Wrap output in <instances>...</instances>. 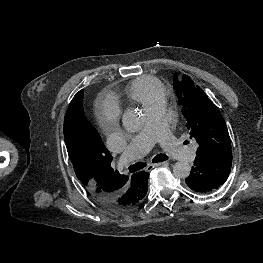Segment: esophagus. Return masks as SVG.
<instances>
[{
    "mask_svg": "<svg viewBox=\"0 0 263 263\" xmlns=\"http://www.w3.org/2000/svg\"><path fill=\"white\" fill-rule=\"evenodd\" d=\"M167 164V162H161V163H154V164H150L146 167V171H151L153 168L158 167L160 165H164Z\"/></svg>",
    "mask_w": 263,
    "mask_h": 263,
    "instance_id": "obj_1",
    "label": "esophagus"
}]
</instances>
